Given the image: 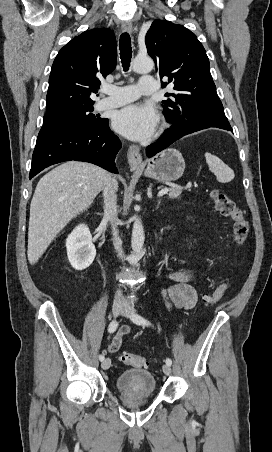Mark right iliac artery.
<instances>
[{
    "label": "right iliac artery",
    "mask_w": 272,
    "mask_h": 452,
    "mask_svg": "<svg viewBox=\"0 0 272 452\" xmlns=\"http://www.w3.org/2000/svg\"><path fill=\"white\" fill-rule=\"evenodd\" d=\"M117 327H118V322L116 320H113L108 326V332L113 333L114 331H116ZM104 359H105V357L103 354L99 355L100 361H103Z\"/></svg>",
    "instance_id": "right-iliac-artery-1"
}]
</instances>
